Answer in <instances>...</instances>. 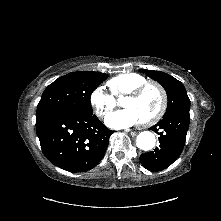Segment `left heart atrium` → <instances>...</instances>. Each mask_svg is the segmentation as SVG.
I'll return each instance as SVG.
<instances>
[{
	"instance_id": "obj_1",
	"label": "left heart atrium",
	"mask_w": 221,
	"mask_h": 221,
	"mask_svg": "<svg viewBox=\"0 0 221 221\" xmlns=\"http://www.w3.org/2000/svg\"><path fill=\"white\" fill-rule=\"evenodd\" d=\"M105 122L113 128H124L138 124L140 121L136 114L130 109H124L119 112L107 115Z\"/></svg>"
}]
</instances>
